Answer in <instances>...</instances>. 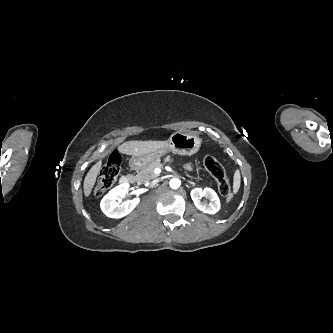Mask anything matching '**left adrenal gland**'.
Wrapping results in <instances>:
<instances>
[{
  "label": "left adrenal gland",
  "mask_w": 333,
  "mask_h": 333,
  "mask_svg": "<svg viewBox=\"0 0 333 333\" xmlns=\"http://www.w3.org/2000/svg\"><path fill=\"white\" fill-rule=\"evenodd\" d=\"M188 183H190V184H192V185H195V183H194V182H192V181H188Z\"/></svg>",
  "instance_id": "obj_1"
}]
</instances>
